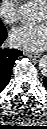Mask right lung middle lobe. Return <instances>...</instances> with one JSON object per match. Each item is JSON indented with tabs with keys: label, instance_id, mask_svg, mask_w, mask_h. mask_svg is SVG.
I'll return each mask as SVG.
<instances>
[{
	"label": "right lung middle lobe",
	"instance_id": "dd1d6c3e",
	"mask_svg": "<svg viewBox=\"0 0 47 129\" xmlns=\"http://www.w3.org/2000/svg\"><path fill=\"white\" fill-rule=\"evenodd\" d=\"M3 30H5V27H4V25L0 21V32L3 31Z\"/></svg>",
	"mask_w": 47,
	"mask_h": 129
}]
</instances>
